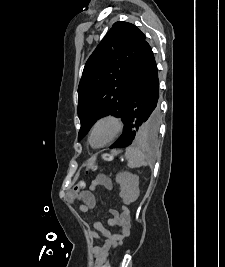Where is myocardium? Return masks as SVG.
Listing matches in <instances>:
<instances>
[{
  "label": "myocardium",
  "instance_id": "myocardium-1",
  "mask_svg": "<svg viewBox=\"0 0 225 267\" xmlns=\"http://www.w3.org/2000/svg\"><path fill=\"white\" fill-rule=\"evenodd\" d=\"M103 121H112L115 125V131H114L113 135L105 143H103L101 145H97V146L93 145L91 142V137H92V133L94 131V128L99 123H101ZM124 127H125V122L120 115H118L116 113L104 114V115L98 117L91 125L89 133H88V143L92 148H95V149L103 148V147L113 143L115 140H117L121 136V134L123 133Z\"/></svg>",
  "mask_w": 225,
  "mask_h": 267
}]
</instances>
